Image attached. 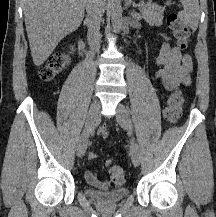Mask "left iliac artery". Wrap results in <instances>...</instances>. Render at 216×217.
Wrapping results in <instances>:
<instances>
[{
	"mask_svg": "<svg viewBox=\"0 0 216 217\" xmlns=\"http://www.w3.org/2000/svg\"><path fill=\"white\" fill-rule=\"evenodd\" d=\"M133 146H134V141H133V140H131V142H130V149H132V148H133Z\"/></svg>",
	"mask_w": 216,
	"mask_h": 217,
	"instance_id": "left-iliac-artery-1",
	"label": "left iliac artery"
}]
</instances>
